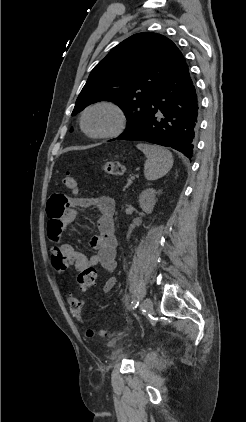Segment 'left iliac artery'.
Segmentation results:
<instances>
[{"label":"left iliac artery","mask_w":246,"mask_h":422,"mask_svg":"<svg viewBox=\"0 0 246 422\" xmlns=\"http://www.w3.org/2000/svg\"><path fill=\"white\" fill-rule=\"evenodd\" d=\"M138 305H139V300L137 299H134L131 303V307L133 310L136 309Z\"/></svg>","instance_id":"obj_1"}]
</instances>
